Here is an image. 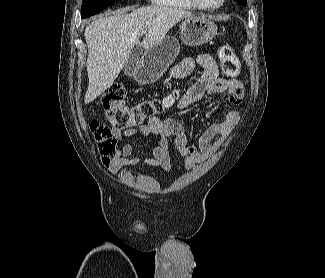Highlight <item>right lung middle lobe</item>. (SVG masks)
<instances>
[{
	"label": "right lung middle lobe",
	"mask_w": 325,
	"mask_h": 278,
	"mask_svg": "<svg viewBox=\"0 0 325 278\" xmlns=\"http://www.w3.org/2000/svg\"><path fill=\"white\" fill-rule=\"evenodd\" d=\"M116 1L117 0H83L81 7V17L87 18L93 16Z\"/></svg>",
	"instance_id": "1"
}]
</instances>
